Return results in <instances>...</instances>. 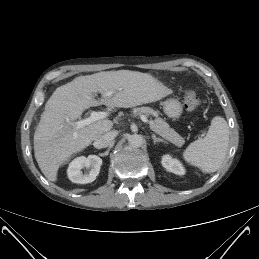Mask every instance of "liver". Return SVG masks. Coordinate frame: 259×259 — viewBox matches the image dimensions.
I'll use <instances>...</instances> for the list:
<instances>
[{
	"instance_id": "obj_1",
	"label": "liver",
	"mask_w": 259,
	"mask_h": 259,
	"mask_svg": "<svg viewBox=\"0 0 259 259\" xmlns=\"http://www.w3.org/2000/svg\"><path fill=\"white\" fill-rule=\"evenodd\" d=\"M102 94L96 100L94 93ZM112 92L111 96H105ZM167 91L150 74L130 70L106 71L79 76L58 87L46 102L34 133V155L44 176L57 180L59 167L74 153L110 131V120H98L76 130L68 124L93 106L130 108L161 99ZM170 93V91H169Z\"/></svg>"
}]
</instances>
